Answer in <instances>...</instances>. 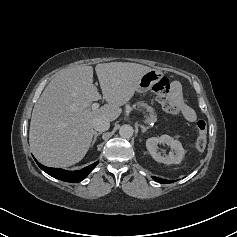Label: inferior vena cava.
<instances>
[{"label":"inferior vena cava","instance_id":"obj_1","mask_svg":"<svg viewBox=\"0 0 237 237\" xmlns=\"http://www.w3.org/2000/svg\"><path fill=\"white\" fill-rule=\"evenodd\" d=\"M93 127L96 131L104 132L107 131L110 127V121L106 118H96L93 121Z\"/></svg>","mask_w":237,"mask_h":237}]
</instances>
